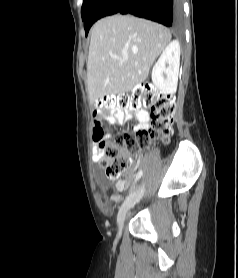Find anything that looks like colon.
<instances>
[{
	"mask_svg": "<svg viewBox=\"0 0 238 278\" xmlns=\"http://www.w3.org/2000/svg\"><path fill=\"white\" fill-rule=\"evenodd\" d=\"M114 108L149 113L151 126L134 133L117 135L113 141L103 140L104 125L101 114ZM175 105L170 95L158 93L148 85L138 86L130 95L105 96L97 102L93 113V138L101 140L103 155L100 166L110 178L119 177L130 165V153L140 152L152 139L168 142L173 133Z\"/></svg>",
	"mask_w": 238,
	"mask_h": 278,
	"instance_id": "1",
	"label": "colon"
}]
</instances>
